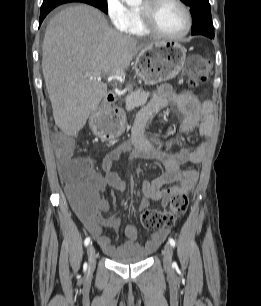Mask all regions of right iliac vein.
I'll use <instances>...</instances> for the list:
<instances>
[{
	"mask_svg": "<svg viewBox=\"0 0 261 306\" xmlns=\"http://www.w3.org/2000/svg\"><path fill=\"white\" fill-rule=\"evenodd\" d=\"M87 255H88L89 269H94L96 265V250L92 243L89 244L87 248Z\"/></svg>",
	"mask_w": 261,
	"mask_h": 306,
	"instance_id": "63e3f726",
	"label": "right iliac vein"
}]
</instances>
